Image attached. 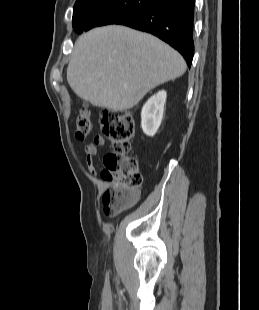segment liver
I'll return each instance as SVG.
<instances>
[{
  "instance_id": "obj_1",
  "label": "liver",
  "mask_w": 259,
  "mask_h": 310,
  "mask_svg": "<svg viewBox=\"0 0 259 310\" xmlns=\"http://www.w3.org/2000/svg\"><path fill=\"white\" fill-rule=\"evenodd\" d=\"M185 71L183 57L157 37L110 25L77 39L67 81L78 97L93 106L124 111Z\"/></svg>"
}]
</instances>
